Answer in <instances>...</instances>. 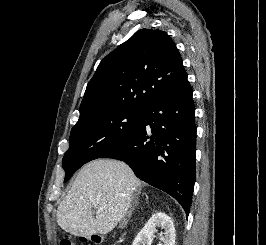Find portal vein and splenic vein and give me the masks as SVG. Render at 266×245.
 Segmentation results:
<instances>
[{"instance_id":"18ae733b","label":"portal vein and splenic vein","mask_w":266,"mask_h":245,"mask_svg":"<svg viewBox=\"0 0 266 245\" xmlns=\"http://www.w3.org/2000/svg\"><path fill=\"white\" fill-rule=\"evenodd\" d=\"M102 207H99L98 211H101Z\"/></svg>"}]
</instances>
